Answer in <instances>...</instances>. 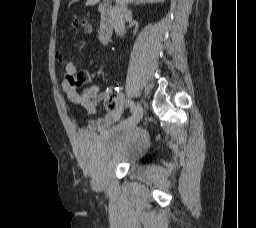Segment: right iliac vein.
<instances>
[{
	"mask_svg": "<svg viewBox=\"0 0 256 228\" xmlns=\"http://www.w3.org/2000/svg\"><path fill=\"white\" fill-rule=\"evenodd\" d=\"M143 117V108L140 103H137L135 111L130 119L129 125L131 127L136 126Z\"/></svg>",
	"mask_w": 256,
	"mask_h": 228,
	"instance_id": "obj_1",
	"label": "right iliac vein"
}]
</instances>
